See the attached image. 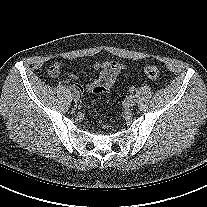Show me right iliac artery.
<instances>
[{
	"mask_svg": "<svg viewBox=\"0 0 207 207\" xmlns=\"http://www.w3.org/2000/svg\"><path fill=\"white\" fill-rule=\"evenodd\" d=\"M70 89H71L72 91H76V89H75L74 87H70Z\"/></svg>",
	"mask_w": 207,
	"mask_h": 207,
	"instance_id": "1",
	"label": "right iliac artery"
}]
</instances>
